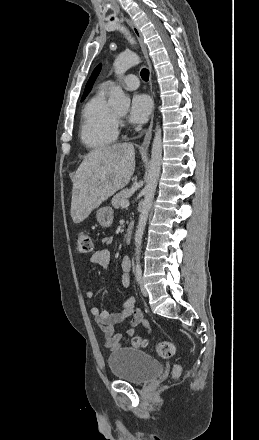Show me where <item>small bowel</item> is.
Listing matches in <instances>:
<instances>
[{
    "label": "small bowel",
    "mask_w": 259,
    "mask_h": 440,
    "mask_svg": "<svg viewBox=\"0 0 259 440\" xmlns=\"http://www.w3.org/2000/svg\"><path fill=\"white\" fill-rule=\"evenodd\" d=\"M105 242H110L111 238L107 237L104 239ZM110 252L107 249H99L93 252L90 257V261L93 264L99 265L102 268H108L110 264ZM131 268V261L128 256H124L121 260V284L123 287L127 288L130 286L131 279L129 271ZM95 296L94 290H87L86 297L92 299ZM91 314L94 316L95 322L102 331L106 346L108 348L118 347L124 336L116 329V327L126 321L130 328L126 331L127 336H132L134 334V327L138 325H143L148 331H150V325L145 319L142 311L136 307L134 297H129L122 305L121 309L117 312H109L108 310H101L97 306L91 307Z\"/></svg>",
    "instance_id": "obj_1"
}]
</instances>
